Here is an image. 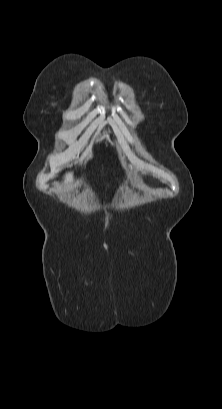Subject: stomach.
<instances>
[{"label":"stomach","mask_w":222,"mask_h":409,"mask_svg":"<svg viewBox=\"0 0 222 409\" xmlns=\"http://www.w3.org/2000/svg\"><path fill=\"white\" fill-rule=\"evenodd\" d=\"M134 180L138 184H144L142 176L138 173L135 174Z\"/></svg>","instance_id":"stomach-1"}]
</instances>
